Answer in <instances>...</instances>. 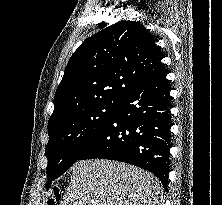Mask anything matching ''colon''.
Here are the masks:
<instances>
[{
  "mask_svg": "<svg viewBox=\"0 0 222 205\" xmlns=\"http://www.w3.org/2000/svg\"><path fill=\"white\" fill-rule=\"evenodd\" d=\"M59 191L56 190L53 197L49 198L44 205H57V201L59 200Z\"/></svg>",
  "mask_w": 222,
  "mask_h": 205,
  "instance_id": "colon-1",
  "label": "colon"
}]
</instances>
